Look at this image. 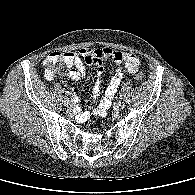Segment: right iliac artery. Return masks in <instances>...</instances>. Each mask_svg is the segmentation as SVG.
Here are the masks:
<instances>
[{
  "instance_id": "1",
  "label": "right iliac artery",
  "mask_w": 195,
  "mask_h": 195,
  "mask_svg": "<svg viewBox=\"0 0 195 195\" xmlns=\"http://www.w3.org/2000/svg\"><path fill=\"white\" fill-rule=\"evenodd\" d=\"M65 94H66V95H69V94H70V92H69V91H65Z\"/></svg>"
}]
</instances>
